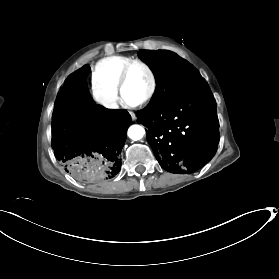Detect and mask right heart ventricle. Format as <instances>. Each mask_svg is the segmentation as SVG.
<instances>
[{"mask_svg":"<svg viewBox=\"0 0 279 279\" xmlns=\"http://www.w3.org/2000/svg\"><path fill=\"white\" fill-rule=\"evenodd\" d=\"M131 60L126 56H109L99 60L91 69L92 83L101 84L117 95L118 76Z\"/></svg>","mask_w":279,"mask_h":279,"instance_id":"e07e8e85","label":"right heart ventricle"}]
</instances>
